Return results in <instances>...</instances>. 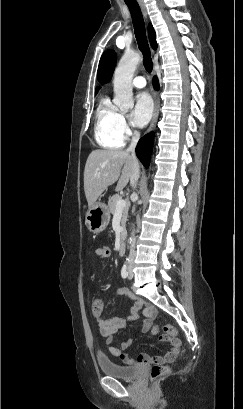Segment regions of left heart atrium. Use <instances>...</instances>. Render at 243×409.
I'll list each match as a JSON object with an SVG mask.
<instances>
[{
	"label": "left heart atrium",
	"mask_w": 243,
	"mask_h": 409,
	"mask_svg": "<svg viewBox=\"0 0 243 409\" xmlns=\"http://www.w3.org/2000/svg\"><path fill=\"white\" fill-rule=\"evenodd\" d=\"M154 106L150 95L147 92L137 94L135 105L131 111V121L135 126L143 127L151 119Z\"/></svg>",
	"instance_id": "39dd6f15"
}]
</instances>
